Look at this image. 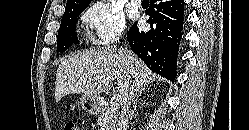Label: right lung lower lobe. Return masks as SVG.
<instances>
[{"instance_id":"right-lung-lower-lobe-1","label":"right lung lower lobe","mask_w":249,"mask_h":130,"mask_svg":"<svg viewBox=\"0 0 249 130\" xmlns=\"http://www.w3.org/2000/svg\"><path fill=\"white\" fill-rule=\"evenodd\" d=\"M148 32L135 23L127 34L131 50L157 74L174 81L176 61L184 21L183 0H152L146 10Z\"/></svg>"}]
</instances>
